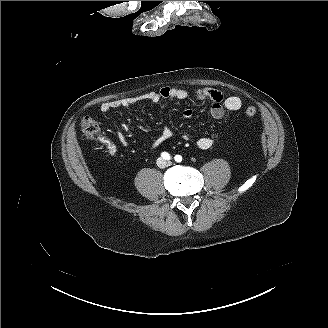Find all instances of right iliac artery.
I'll return each mask as SVG.
<instances>
[{
    "mask_svg": "<svg viewBox=\"0 0 328 328\" xmlns=\"http://www.w3.org/2000/svg\"><path fill=\"white\" fill-rule=\"evenodd\" d=\"M161 156L163 157V159H165V160H169L171 157H170V155L167 153V152H163L162 154H161Z\"/></svg>",
    "mask_w": 328,
    "mask_h": 328,
    "instance_id": "right-iliac-artery-1",
    "label": "right iliac artery"
}]
</instances>
